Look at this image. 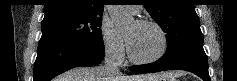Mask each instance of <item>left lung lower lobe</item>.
Segmentation results:
<instances>
[{"mask_svg": "<svg viewBox=\"0 0 237 81\" xmlns=\"http://www.w3.org/2000/svg\"><path fill=\"white\" fill-rule=\"evenodd\" d=\"M175 69L190 71L198 75L204 81H210L208 61L203 45L190 48L171 60L160 58L154 63L131 67L133 73H151Z\"/></svg>", "mask_w": 237, "mask_h": 81, "instance_id": "left-lung-lower-lobe-1", "label": "left lung lower lobe"}]
</instances>
